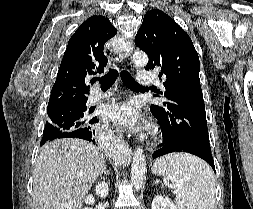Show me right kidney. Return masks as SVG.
<instances>
[{
    "label": "right kidney",
    "mask_w": 253,
    "mask_h": 209,
    "mask_svg": "<svg viewBox=\"0 0 253 209\" xmlns=\"http://www.w3.org/2000/svg\"><path fill=\"white\" fill-rule=\"evenodd\" d=\"M96 194L98 196H100L101 198H105L107 197L108 193H109V185L107 182H105V180H103L102 182L98 183V185H96L95 188ZM95 201L94 197L92 195H89L86 197L85 202L86 204H93ZM88 209V208H85Z\"/></svg>",
    "instance_id": "1"
}]
</instances>
